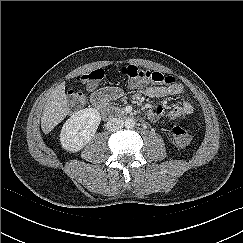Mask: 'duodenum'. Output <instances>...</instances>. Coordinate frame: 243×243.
Masks as SVG:
<instances>
[{
	"mask_svg": "<svg viewBox=\"0 0 243 243\" xmlns=\"http://www.w3.org/2000/svg\"><path fill=\"white\" fill-rule=\"evenodd\" d=\"M102 104L98 105L99 107H102L105 105V102H101Z\"/></svg>",
	"mask_w": 243,
	"mask_h": 243,
	"instance_id": "410a0bca",
	"label": "duodenum"
}]
</instances>
